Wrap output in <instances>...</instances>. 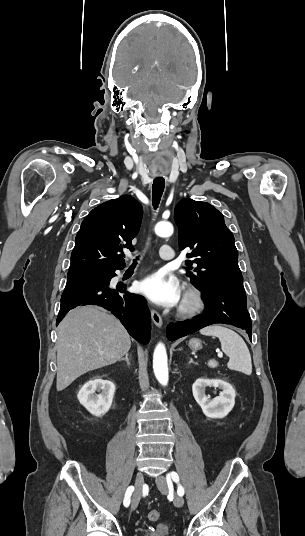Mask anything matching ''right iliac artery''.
Returning a JSON list of instances; mask_svg holds the SVG:
<instances>
[{
    "label": "right iliac artery",
    "instance_id": "right-iliac-artery-1",
    "mask_svg": "<svg viewBox=\"0 0 305 536\" xmlns=\"http://www.w3.org/2000/svg\"><path fill=\"white\" fill-rule=\"evenodd\" d=\"M134 491V487L133 486H129L126 493H125V498H124V506L125 507H128L129 504H130V497L132 495V492Z\"/></svg>",
    "mask_w": 305,
    "mask_h": 536
}]
</instances>
